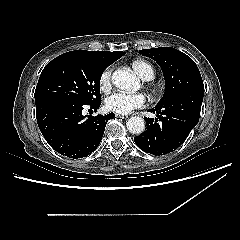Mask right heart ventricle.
Listing matches in <instances>:
<instances>
[{"label":"right heart ventricle","mask_w":240,"mask_h":240,"mask_svg":"<svg viewBox=\"0 0 240 240\" xmlns=\"http://www.w3.org/2000/svg\"><path fill=\"white\" fill-rule=\"evenodd\" d=\"M132 68L135 73L143 80H151L155 76V70L153 66L145 60H134L132 62Z\"/></svg>","instance_id":"e07e8e85"}]
</instances>
